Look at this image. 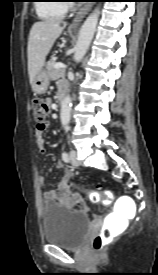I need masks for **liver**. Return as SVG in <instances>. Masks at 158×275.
I'll return each instance as SVG.
<instances>
[{
	"label": "liver",
	"instance_id": "obj_1",
	"mask_svg": "<svg viewBox=\"0 0 158 275\" xmlns=\"http://www.w3.org/2000/svg\"><path fill=\"white\" fill-rule=\"evenodd\" d=\"M65 27V22L55 20L38 21L33 24L27 48L28 73L31 84L38 72L42 70L49 50Z\"/></svg>",
	"mask_w": 158,
	"mask_h": 275
}]
</instances>
